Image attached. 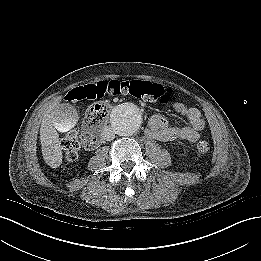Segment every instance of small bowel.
<instances>
[{
  "instance_id": "1",
  "label": "small bowel",
  "mask_w": 261,
  "mask_h": 261,
  "mask_svg": "<svg viewBox=\"0 0 261 261\" xmlns=\"http://www.w3.org/2000/svg\"><path fill=\"white\" fill-rule=\"evenodd\" d=\"M172 107L188 121V125L170 126L163 116L153 115L149 119L146 135L160 141H198L200 132L205 128V121L201 112L195 107H188L180 102H174Z\"/></svg>"
}]
</instances>
